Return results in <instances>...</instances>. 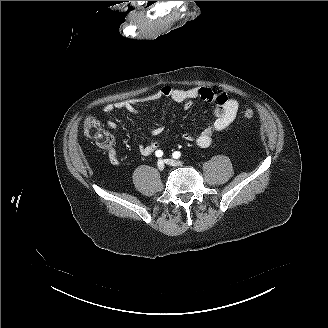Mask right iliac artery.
<instances>
[{
    "mask_svg": "<svg viewBox=\"0 0 328 328\" xmlns=\"http://www.w3.org/2000/svg\"><path fill=\"white\" fill-rule=\"evenodd\" d=\"M163 155V152L161 150L156 151V156L161 157Z\"/></svg>",
    "mask_w": 328,
    "mask_h": 328,
    "instance_id": "1",
    "label": "right iliac artery"
}]
</instances>
